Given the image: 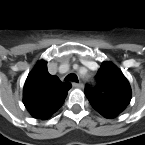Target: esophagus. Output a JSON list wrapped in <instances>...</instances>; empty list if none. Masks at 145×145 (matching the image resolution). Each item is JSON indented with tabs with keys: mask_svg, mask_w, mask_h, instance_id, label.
Instances as JSON below:
<instances>
[{
	"mask_svg": "<svg viewBox=\"0 0 145 145\" xmlns=\"http://www.w3.org/2000/svg\"><path fill=\"white\" fill-rule=\"evenodd\" d=\"M72 85L76 88H83L84 87L83 83H81V82H79V83L73 82Z\"/></svg>",
	"mask_w": 145,
	"mask_h": 145,
	"instance_id": "1",
	"label": "esophagus"
}]
</instances>
